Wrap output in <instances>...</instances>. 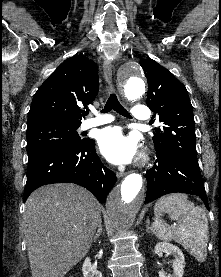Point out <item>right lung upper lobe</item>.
Returning a JSON list of instances; mask_svg holds the SVG:
<instances>
[{"instance_id": "cb5924a9", "label": "right lung upper lobe", "mask_w": 221, "mask_h": 277, "mask_svg": "<svg viewBox=\"0 0 221 277\" xmlns=\"http://www.w3.org/2000/svg\"><path fill=\"white\" fill-rule=\"evenodd\" d=\"M95 62L79 55L66 59L34 95L28 125L58 122L81 124V105L91 104L98 94Z\"/></svg>"}]
</instances>
